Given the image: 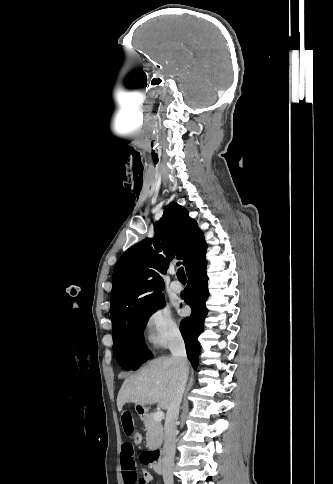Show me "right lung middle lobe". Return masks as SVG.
Masks as SVG:
<instances>
[{
  "instance_id": "obj_1",
  "label": "right lung middle lobe",
  "mask_w": 333,
  "mask_h": 484,
  "mask_svg": "<svg viewBox=\"0 0 333 484\" xmlns=\"http://www.w3.org/2000/svg\"><path fill=\"white\" fill-rule=\"evenodd\" d=\"M164 305L161 296L127 317L113 334V352L125 370L137 369L152 357L144 343L143 331L149 316Z\"/></svg>"
}]
</instances>
